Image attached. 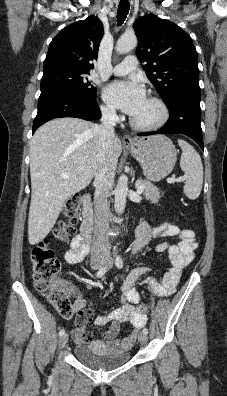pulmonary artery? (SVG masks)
<instances>
[{"label":"pulmonary artery","instance_id":"e3ab8cb5","mask_svg":"<svg viewBox=\"0 0 227 396\" xmlns=\"http://www.w3.org/2000/svg\"><path fill=\"white\" fill-rule=\"evenodd\" d=\"M137 65H138L137 58L135 56L130 55L127 56L121 63L115 65L110 70H108V72L118 76L125 75L135 70L137 68Z\"/></svg>","mask_w":227,"mask_h":396}]
</instances>
